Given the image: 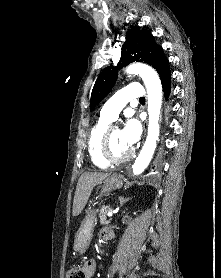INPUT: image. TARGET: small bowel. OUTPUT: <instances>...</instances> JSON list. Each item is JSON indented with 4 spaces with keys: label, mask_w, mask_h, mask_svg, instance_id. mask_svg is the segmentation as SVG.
I'll list each match as a JSON object with an SVG mask.
<instances>
[{
    "label": "small bowel",
    "mask_w": 221,
    "mask_h": 278,
    "mask_svg": "<svg viewBox=\"0 0 221 278\" xmlns=\"http://www.w3.org/2000/svg\"><path fill=\"white\" fill-rule=\"evenodd\" d=\"M102 233L104 235L105 230ZM82 270L85 274V278H92L96 270V262L94 260H88L84 262L82 265Z\"/></svg>",
    "instance_id": "small-bowel-1"
}]
</instances>
